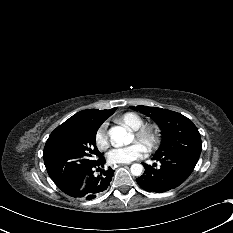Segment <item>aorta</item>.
Returning a JSON list of instances; mask_svg holds the SVG:
<instances>
[{"label":"aorta","mask_w":233,"mask_h":233,"mask_svg":"<svg viewBox=\"0 0 233 233\" xmlns=\"http://www.w3.org/2000/svg\"><path fill=\"white\" fill-rule=\"evenodd\" d=\"M109 135L111 139V144L114 147L127 145L132 140L131 135L126 131L125 128L121 126L112 127L109 130ZM130 170L132 175L140 176L143 171V166L141 164L135 163L131 166Z\"/></svg>","instance_id":"1"}]
</instances>
